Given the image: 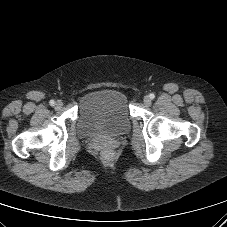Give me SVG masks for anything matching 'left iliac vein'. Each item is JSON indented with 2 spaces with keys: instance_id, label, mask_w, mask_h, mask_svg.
Returning <instances> with one entry per match:
<instances>
[{
  "instance_id": "4c4485c4",
  "label": "left iliac vein",
  "mask_w": 227,
  "mask_h": 227,
  "mask_svg": "<svg viewBox=\"0 0 227 227\" xmlns=\"http://www.w3.org/2000/svg\"><path fill=\"white\" fill-rule=\"evenodd\" d=\"M143 101H144V104H146V105H150L151 104V99H150L149 96H145Z\"/></svg>"
}]
</instances>
